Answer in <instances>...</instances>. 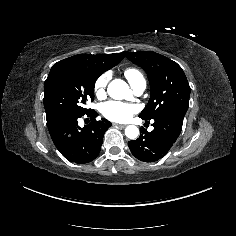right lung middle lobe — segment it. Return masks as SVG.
Returning <instances> with one entry per match:
<instances>
[{"label": "right lung middle lobe", "mask_w": 236, "mask_h": 236, "mask_svg": "<svg viewBox=\"0 0 236 236\" xmlns=\"http://www.w3.org/2000/svg\"><path fill=\"white\" fill-rule=\"evenodd\" d=\"M104 72L92 61L62 60L55 63L45 80L44 107L47 119L61 114L80 116L90 109L84 107L94 99L96 79Z\"/></svg>", "instance_id": "1"}]
</instances>
